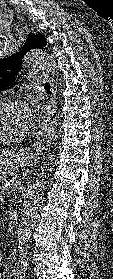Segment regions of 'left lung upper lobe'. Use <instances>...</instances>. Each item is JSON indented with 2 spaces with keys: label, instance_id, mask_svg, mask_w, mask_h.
Returning a JSON list of instances; mask_svg holds the SVG:
<instances>
[{
  "label": "left lung upper lobe",
  "instance_id": "left-lung-upper-lobe-1",
  "mask_svg": "<svg viewBox=\"0 0 113 279\" xmlns=\"http://www.w3.org/2000/svg\"><path fill=\"white\" fill-rule=\"evenodd\" d=\"M46 44L42 34L29 35L20 52L0 60V91L10 88L15 82V76L22 67L24 54L34 48H43Z\"/></svg>",
  "mask_w": 113,
  "mask_h": 279
}]
</instances>
